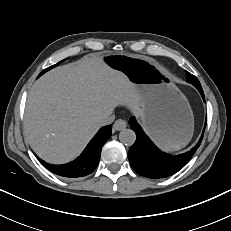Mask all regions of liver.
<instances>
[{"label":"liver","mask_w":231,"mask_h":231,"mask_svg":"<svg viewBox=\"0 0 231 231\" xmlns=\"http://www.w3.org/2000/svg\"><path fill=\"white\" fill-rule=\"evenodd\" d=\"M118 105L141 116L144 103L136 87L97 54L57 67L31 87L24 133L43 160H73L101 127L99 120Z\"/></svg>","instance_id":"liver-1"}]
</instances>
